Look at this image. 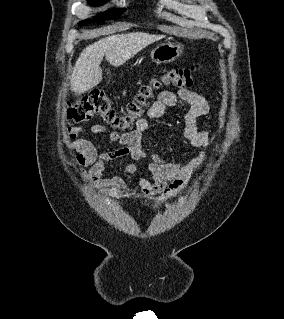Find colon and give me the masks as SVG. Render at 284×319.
<instances>
[{"label":"colon","instance_id":"obj_1","mask_svg":"<svg viewBox=\"0 0 284 319\" xmlns=\"http://www.w3.org/2000/svg\"><path fill=\"white\" fill-rule=\"evenodd\" d=\"M197 68V65L190 68H173L166 71L160 81L156 80L151 85L141 86L128 103L125 113H119L115 109L104 91L93 90L67 110L66 119L69 124L78 125L98 116L106 125L127 131L150 105L155 90L161 84L180 89L190 88Z\"/></svg>","mask_w":284,"mask_h":319}]
</instances>
